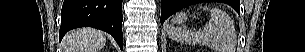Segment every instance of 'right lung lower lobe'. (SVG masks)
Instances as JSON below:
<instances>
[{"label": "right lung lower lobe", "instance_id": "1", "mask_svg": "<svg viewBox=\"0 0 305 52\" xmlns=\"http://www.w3.org/2000/svg\"><path fill=\"white\" fill-rule=\"evenodd\" d=\"M122 21V0H64L59 38L77 27H93L111 34L122 49Z\"/></svg>", "mask_w": 305, "mask_h": 52}]
</instances>
